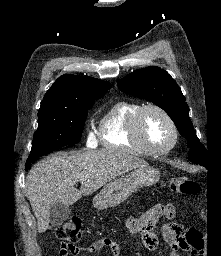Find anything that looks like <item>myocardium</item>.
<instances>
[{
    "instance_id": "1",
    "label": "myocardium",
    "mask_w": 221,
    "mask_h": 256,
    "mask_svg": "<svg viewBox=\"0 0 221 256\" xmlns=\"http://www.w3.org/2000/svg\"><path fill=\"white\" fill-rule=\"evenodd\" d=\"M148 110H155L162 114L164 118L168 121L171 130H172V141L170 144L164 148L156 149L151 147L142 135V119L143 115ZM129 133L131 139L138 144L147 154L150 155H165L169 153L178 143L179 140V131L176 125L175 120L173 117L166 111L163 107L157 104H146L141 106L134 116L132 117L130 126H129Z\"/></svg>"
}]
</instances>
